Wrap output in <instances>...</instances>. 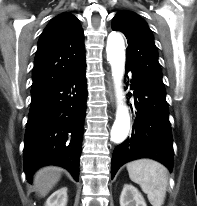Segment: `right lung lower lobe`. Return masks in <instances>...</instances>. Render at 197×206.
<instances>
[{
	"instance_id": "98d812e1",
	"label": "right lung lower lobe",
	"mask_w": 197,
	"mask_h": 206,
	"mask_svg": "<svg viewBox=\"0 0 197 206\" xmlns=\"http://www.w3.org/2000/svg\"><path fill=\"white\" fill-rule=\"evenodd\" d=\"M86 64L51 89L32 98L25 133L24 171L30 182L43 165H59L79 178L86 112Z\"/></svg>"
}]
</instances>
